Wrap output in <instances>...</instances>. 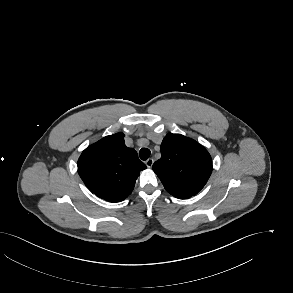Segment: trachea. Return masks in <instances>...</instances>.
Here are the masks:
<instances>
[{
    "mask_svg": "<svg viewBox=\"0 0 293 293\" xmlns=\"http://www.w3.org/2000/svg\"><path fill=\"white\" fill-rule=\"evenodd\" d=\"M150 150L148 148H142L140 151H139V156H140V159L141 160H147L150 156Z\"/></svg>",
    "mask_w": 293,
    "mask_h": 293,
    "instance_id": "obj_1",
    "label": "trachea"
}]
</instances>
